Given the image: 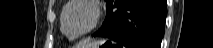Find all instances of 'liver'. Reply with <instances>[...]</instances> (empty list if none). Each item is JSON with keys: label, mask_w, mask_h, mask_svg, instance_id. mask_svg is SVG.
I'll use <instances>...</instances> for the list:
<instances>
[{"label": "liver", "mask_w": 213, "mask_h": 48, "mask_svg": "<svg viewBox=\"0 0 213 48\" xmlns=\"http://www.w3.org/2000/svg\"><path fill=\"white\" fill-rule=\"evenodd\" d=\"M94 43H90L89 41H83L82 43H81V46H82V48H85V47H88V46H91V45H93Z\"/></svg>", "instance_id": "liver-1"}]
</instances>
